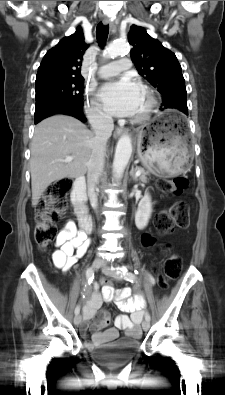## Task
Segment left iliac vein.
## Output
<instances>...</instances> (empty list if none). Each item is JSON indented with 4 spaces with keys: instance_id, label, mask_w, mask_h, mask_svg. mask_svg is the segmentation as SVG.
<instances>
[{
    "instance_id": "4c4485c4",
    "label": "left iliac vein",
    "mask_w": 225,
    "mask_h": 395,
    "mask_svg": "<svg viewBox=\"0 0 225 395\" xmlns=\"http://www.w3.org/2000/svg\"><path fill=\"white\" fill-rule=\"evenodd\" d=\"M102 270L106 275L114 278L115 280L121 279L120 275L118 273H116L114 270L110 269L105 263L102 264ZM142 328L144 331H148L150 328V322L145 319L142 322Z\"/></svg>"
}]
</instances>
